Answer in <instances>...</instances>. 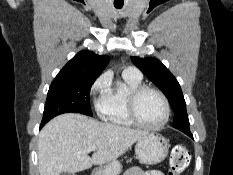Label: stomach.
<instances>
[{"label": "stomach", "mask_w": 233, "mask_h": 175, "mask_svg": "<svg viewBox=\"0 0 233 175\" xmlns=\"http://www.w3.org/2000/svg\"><path fill=\"white\" fill-rule=\"evenodd\" d=\"M168 141L160 134L148 133L139 139L135 145V153L140 162L154 165L162 162L168 154ZM122 165L113 160L93 170L92 175H119Z\"/></svg>", "instance_id": "1"}]
</instances>
